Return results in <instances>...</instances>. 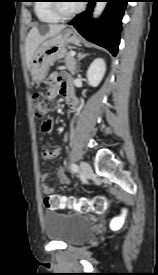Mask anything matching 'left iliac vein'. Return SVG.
Segmentation results:
<instances>
[{
    "label": "left iliac vein",
    "instance_id": "obj_1",
    "mask_svg": "<svg viewBox=\"0 0 158 275\" xmlns=\"http://www.w3.org/2000/svg\"><path fill=\"white\" fill-rule=\"evenodd\" d=\"M80 168H81V171L85 175L86 178H89L91 176L92 168L87 162L82 161L80 163Z\"/></svg>",
    "mask_w": 158,
    "mask_h": 275
}]
</instances>
